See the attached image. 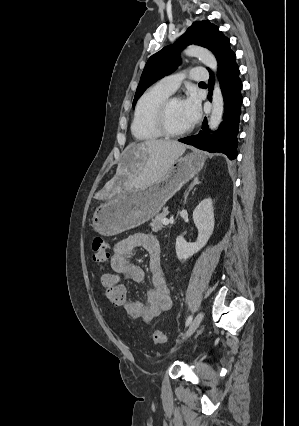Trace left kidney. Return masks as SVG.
I'll return each mask as SVG.
<instances>
[{
	"instance_id": "1",
	"label": "left kidney",
	"mask_w": 299,
	"mask_h": 426,
	"mask_svg": "<svg viewBox=\"0 0 299 426\" xmlns=\"http://www.w3.org/2000/svg\"><path fill=\"white\" fill-rule=\"evenodd\" d=\"M194 224L198 229L197 241L194 243L187 242L182 236L176 238V255L179 260L186 261L195 253L200 251L214 230V210L212 200L204 199L199 203L193 212Z\"/></svg>"
}]
</instances>
